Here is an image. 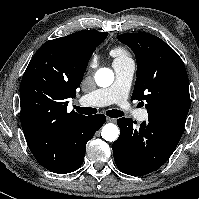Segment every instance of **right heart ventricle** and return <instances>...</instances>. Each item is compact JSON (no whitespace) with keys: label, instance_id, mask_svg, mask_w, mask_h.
I'll use <instances>...</instances> for the list:
<instances>
[{"label":"right heart ventricle","instance_id":"1","mask_svg":"<svg viewBox=\"0 0 199 199\" xmlns=\"http://www.w3.org/2000/svg\"><path fill=\"white\" fill-rule=\"evenodd\" d=\"M111 55L114 56L115 60L129 59L127 51L122 47H115L111 50Z\"/></svg>","mask_w":199,"mask_h":199}]
</instances>
